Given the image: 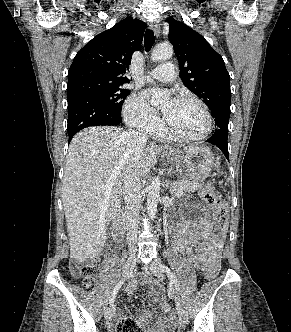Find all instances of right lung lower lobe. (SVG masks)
Returning a JSON list of instances; mask_svg holds the SVG:
<instances>
[{
  "label": "right lung lower lobe",
  "instance_id": "right-lung-lower-lobe-1",
  "mask_svg": "<svg viewBox=\"0 0 291 332\" xmlns=\"http://www.w3.org/2000/svg\"><path fill=\"white\" fill-rule=\"evenodd\" d=\"M68 101L69 141L81 129L90 126L117 125L122 122L121 115L105 103L88 95H77Z\"/></svg>",
  "mask_w": 291,
  "mask_h": 332
}]
</instances>
